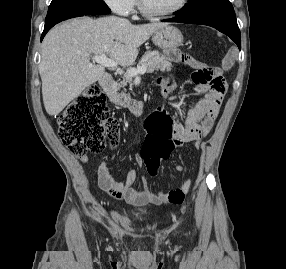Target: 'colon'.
<instances>
[{"instance_id": "5ec220e1", "label": "colon", "mask_w": 286, "mask_h": 269, "mask_svg": "<svg viewBox=\"0 0 286 269\" xmlns=\"http://www.w3.org/2000/svg\"><path fill=\"white\" fill-rule=\"evenodd\" d=\"M183 49H160L161 59L165 62H181V66H194V83L190 88H199L208 95L205 110H218L220 100H225L226 83L222 71L223 65L207 66V61H199ZM181 54V56H180ZM108 104L102 89L97 86L87 88L58 117L60 139L77 157L87 152L101 151L107 144L115 148L119 142L118 121L108 115ZM145 121L146 142H142L144 163L150 174L163 168L161 161L169 159L178 143L173 135L172 111L164 107L151 108L142 116ZM186 192L179 191L178 200L184 201Z\"/></svg>"}]
</instances>
